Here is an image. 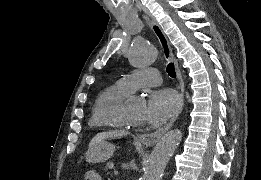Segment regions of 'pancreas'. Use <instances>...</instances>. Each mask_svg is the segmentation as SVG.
<instances>
[{
    "label": "pancreas",
    "instance_id": "obj_1",
    "mask_svg": "<svg viewBox=\"0 0 261 180\" xmlns=\"http://www.w3.org/2000/svg\"><path fill=\"white\" fill-rule=\"evenodd\" d=\"M110 164H112V159H107L106 162L103 163V169L104 170H109L110 169Z\"/></svg>",
    "mask_w": 261,
    "mask_h": 180
}]
</instances>
